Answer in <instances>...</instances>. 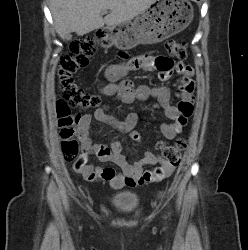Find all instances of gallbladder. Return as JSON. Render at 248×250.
Masks as SVG:
<instances>
[{
    "label": "gallbladder",
    "mask_w": 248,
    "mask_h": 250,
    "mask_svg": "<svg viewBox=\"0 0 248 250\" xmlns=\"http://www.w3.org/2000/svg\"><path fill=\"white\" fill-rule=\"evenodd\" d=\"M72 38V35L71 34H67L66 36H65V39H67V40H70Z\"/></svg>",
    "instance_id": "bac80fb5"
}]
</instances>
